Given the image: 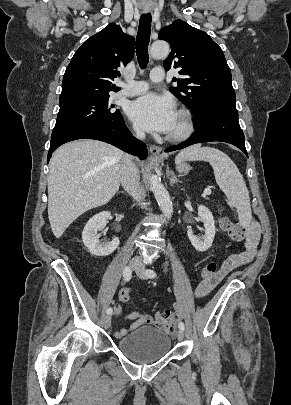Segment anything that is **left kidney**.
Returning a JSON list of instances; mask_svg holds the SVG:
<instances>
[{"mask_svg":"<svg viewBox=\"0 0 291 405\" xmlns=\"http://www.w3.org/2000/svg\"><path fill=\"white\" fill-rule=\"evenodd\" d=\"M198 216L204 224L205 234L202 237L195 236L192 229H188L187 235L193 247L199 252H204L212 246L216 231L215 222L211 211L206 206L198 207Z\"/></svg>","mask_w":291,"mask_h":405,"instance_id":"left-kidney-1","label":"left kidney"}]
</instances>
